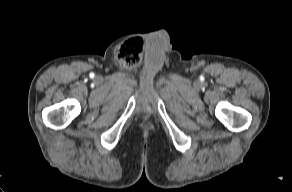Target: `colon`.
Segmentation results:
<instances>
[{
	"label": "colon",
	"mask_w": 292,
	"mask_h": 192,
	"mask_svg": "<svg viewBox=\"0 0 292 192\" xmlns=\"http://www.w3.org/2000/svg\"><path fill=\"white\" fill-rule=\"evenodd\" d=\"M134 44L137 45L139 48H138V50L136 52L135 58L133 60H131V62L129 63L131 66H133V65H135V64H137L139 62V59H140L139 58V54H140V49H141L142 43H141V41L139 39H136V40L133 41V43H129V44H126L124 46V48L125 47H131Z\"/></svg>",
	"instance_id": "5ec220e1"
}]
</instances>
